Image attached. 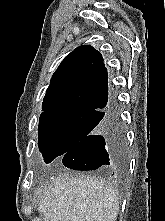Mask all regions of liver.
Listing matches in <instances>:
<instances>
[{"mask_svg":"<svg viewBox=\"0 0 165 221\" xmlns=\"http://www.w3.org/2000/svg\"><path fill=\"white\" fill-rule=\"evenodd\" d=\"M38 211L44 221H115L119 201L102 179L64 174L43 191Z\"/></svg>","mask_w":165,"mask_h":221,"instance_id":"1","label":"liver"}]
</instances>
